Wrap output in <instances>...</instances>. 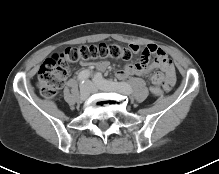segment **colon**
Listing matches in <instances>:
<instances>
[{
  "label": "colon",
  "instance_id": "1",
  "mask_svg": "<svg viewBox=\"0 0 219 174\" xmlns=\"http://www.w3.org/2000/svg\"><path fill=\"white\" fill-rule=\"evenodd\" d=\"M133 50L114 42H101L95 45L73 47L63 52L53 53L41 65L38 72L37 85L41 94L48 98H54L64 85L69 69L77 63H83L96 59L131 60ZM154 97L163 95L160 86L151 89Z\"/></svg>",
  "mask_w": 219,
  "mask_h": 174
}]
</instances>
